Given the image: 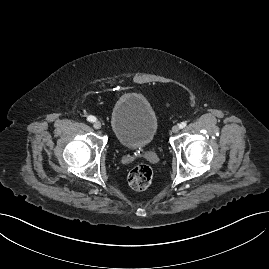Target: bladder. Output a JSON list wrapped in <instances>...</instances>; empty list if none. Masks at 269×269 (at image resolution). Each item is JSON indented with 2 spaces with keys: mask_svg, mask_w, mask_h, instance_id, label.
I'll use <instances>...</instances> for the list:
<instances>
[{
  "mask_svg": "<svg viewBox=\"0 0 269 269\" xmlns=\"http://www.w3.org/2000/svg\"><path fill=\"white\" fill-rule=\"evenodd\" d=\"M110 126L114 138L123 147L148 146L158 130V118L148 99L141 93H126L113 105Z\"/></svg>",
  "mask_w": 269,
  "mask_h": 269,
  "instance_id": "31cf9c89",
  "label": "bladder"
}]
</instances>
